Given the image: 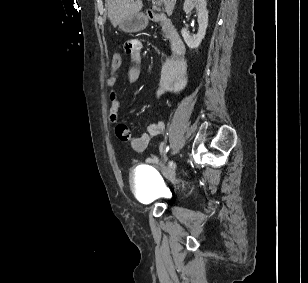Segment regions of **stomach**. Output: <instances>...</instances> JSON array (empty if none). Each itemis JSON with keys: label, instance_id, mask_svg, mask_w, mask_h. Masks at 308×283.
I'll use <instances>...</instances> for the list:
<instances>
[{"label": "stomach", "instance_id": "obj_1", "mask_svg": "<svg viewBox=\"0 0 308 283\" xmlns=\"http://www.w3.org/2000/svg\"><path fill=\"white\" fill-rule=\"evenodd\" d=\"M147 24H148L147 17L142 13H137L135 15L124 18L118 24V27L125 33H133L145 29Z\"/></svg>", "mask_w": 308, "mask_h": 283}]
</instances>
